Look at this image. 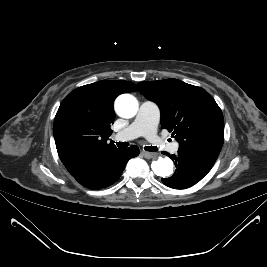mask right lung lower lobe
<instances>
[{"instance_id":"98d812e1","label":"right lung lower lobe","mask_w":267,"mask_h":267,"mask_svg":"<svg viewBox=\"0 0 267 267\" xmlns=\"http://www.w3.org/2000/svg\"><path fill=\"white\" fill-rule=\"evenodd\" d=\"M137 146L101 153L72 175L86 188L98 190L114 184L123 172L129 159L139 154Z\"/></svg>"}]
</instances>
